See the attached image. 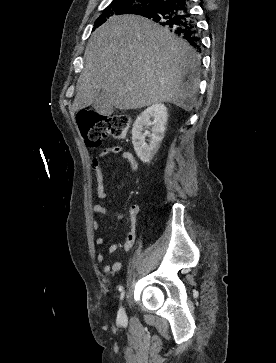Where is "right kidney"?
Returning a JSON list of instances; mask_svg holds the SVG:
<instances>
[{
  "label": "right kidney",
  "mask_w": 276,
  "mask_h": 363,
  "mask_svg": "<svg viewBox=\"0 0 276 363\" xmlns=\"http://www.w3.org/2000/svg\"><path fill=\"white\" fill-rule=\"evenodd\" d=\"M168 112L164 104H153L144 110L135 120L132 128V143L138 158L143 163H149L157 153L164 137ZM152 119V120H151ZM152 126V133L143 131V127ZM149 136V144H145V137Z\"/></svg>",
  "instance_id": "ca27d5eb"
}]
</instances>
